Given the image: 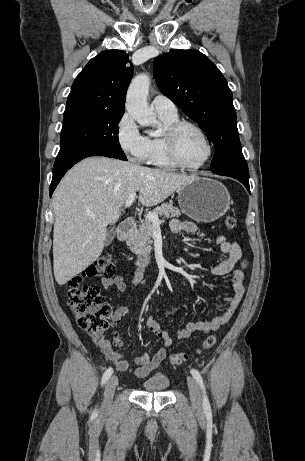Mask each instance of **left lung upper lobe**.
Masks as SVG:
<instances>
[{
	"label": "left lung upper lobe",
	"instance_id": "obj_1",
	"mask_svg": "<svg viewBox=\"0 0 305 461\" xmlns=\"http://www.w3.org/2000/svg\"><path fill=\"white\" fill-rule=\"evenodd\" d=\"M154 69L161 92L198 123L213 143L211 171L249 176L232 92L216 65L197 50H172L155 60Z\"/></svg>",
	"mask_w": 305,
	"mask_h": 461
}]
</instances>
